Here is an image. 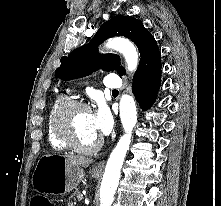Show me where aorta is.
Here are the masks:
<instances>
[{
	"mask_svg": "<svg viewBox=\"0 0 221 206\" xmlns=\"http://www.w3.org/2000/svg\"><path fill=\"white\" fill-rule=\"evenodd\" d=\"M105 47L123 54L129 72L136 70L138 52L132 42L122 37H114L106 42ZM119 108L125 134L120 137L107 161L100 188V206H111L113 202L114 193L120 179L121 168L131 142L132 130L137 122L136 105L131 95H122Z\"/></svg>",
	"mask_w": 221,
	"mask_h": 206,
	"instance_id": "obj_1",
	"label": "aorta"
}]
</instances>
